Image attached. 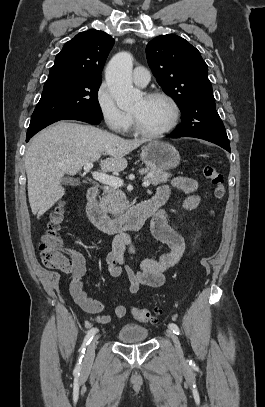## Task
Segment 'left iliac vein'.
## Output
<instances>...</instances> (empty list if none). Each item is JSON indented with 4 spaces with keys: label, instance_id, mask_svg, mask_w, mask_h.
<instances>
[{
    "label": "left iliac vein",
    "instance_id": "obj_1",
    "mask_svg": "<svg viewBox=\"0 0 265 407\" xmlns=\"http://www.w3.org/2000/svg\"><path fill=\"white\" fill-rule=\"evenodd\" d=\"M166 333H167V336L170 337L171 340L173 341L176 351L181 355L182 350H181V345H180L178 336L171 329H167Z\"/></svg>",
    "mask_w": 265,
    "mask_h": 407
}]
</instances>
